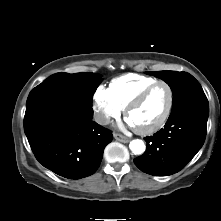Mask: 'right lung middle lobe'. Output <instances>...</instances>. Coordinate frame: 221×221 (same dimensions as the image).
<instances>
[{
  "label": "right lung middle lobe",
  "mask_w": 221,
  "mask_h": 221,
  "mask_svg": "<svg viewBox=\"0 0 221 221\" xmlns=\"http://www.w3.org/2000/svg\"><path fill=\"white\" fill-rule=\"evenodd\" d=\"M102 81L96 73H56L30 92L26 108L42 102L57 101L85 115H93L92 97Z\"/></svg>",
  "instance_id": "right-lung-middle-lobe-1"
}]
</instances>
